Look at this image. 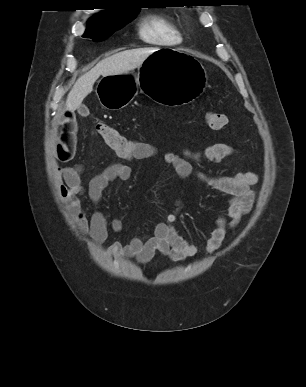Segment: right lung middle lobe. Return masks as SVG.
Masks as SVG:
<instances>
[{"instance_id":"right-lung-middle-lobe-1","label":"right lung middle lobe","mask_w":306,"mask_h":387,"mask_svg":"<svg viewBox=\"0 0 306 387\" xmlns=\"http://www.w3.org/2000/svg\"><path fill=\"white\" fill-rule=\"evenodd\" d=\"M140 9H130L119 13L116 17L106 22H89L83 35L95 42H100L108 38L114 31L123 27L127 22L135 18Z\"/></svg>"}]
</instances>
